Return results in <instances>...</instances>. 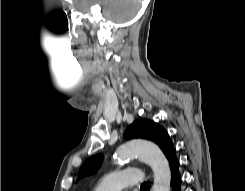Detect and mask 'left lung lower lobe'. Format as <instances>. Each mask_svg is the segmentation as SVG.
Instances as JSON below:
<instances>
[{
  "label": "left lung lower lobe",
  "instance_id": "obj_1",
  "mask_svg": "<svg viewBox=\"0 0 245 191\" xmlns=\"http://www.w3.org/2000/svg\"><path fill=\"white\" fill-rule=\"evenodd\" d=\"M168 162L171 170V186L172 191H181V175L179 172V160L176 157V150L174 149L168 157Z\"/></svg>",
  "mask_w": 245,
  "mask_h": 191
}]
</instances>
